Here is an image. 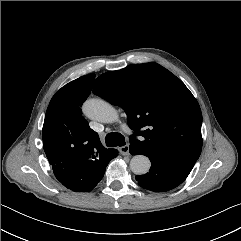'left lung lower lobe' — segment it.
Wrapping results in <instances>:
<instances>
[{
	"mask_svg": "<svg viewBox=\"0 0 241 241\" xmlns=\"http://www.w3.org/2000/svg\"><path fill=\"white\" fill-rule=\"evenodd\" d=\"M130 153L143 154L130 145ZM150 172L143 176H136L139 186L150 191L165 192L179 186L189 175L192 169L177 165L160 158L149 157Z\"/></svg>",
	"mask_w": 241,
	"mask_h": 241,
	"instance_id": "obj_1",
	"label": "left lung lower lobe"
}]
</instances>
